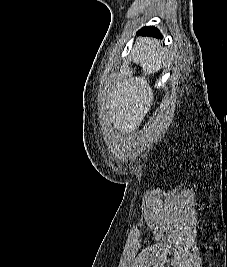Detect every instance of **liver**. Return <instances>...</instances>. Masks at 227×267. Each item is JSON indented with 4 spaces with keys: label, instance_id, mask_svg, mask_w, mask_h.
<instances>
[{
    "label": "liver",
    "instance_id": "1",
    "mask_svg": "<svg viewBox=\"0 0 227 267\" xmlns=\"http://www.w3.org/2000/svg\"><path fill=\"white\" fill-rule=\"evenodd\" d=\"M156 43L153 45L152 40L145 39L137 42L131 51L134 63H139L145 76L158 72L164 65L165 49ZM145 76L124 79L112 87L108 116L114 128L121 132H134L153 104V91Z\"/></svg>",
    "mask_w": 227,
    "mask_h": 267
}]
</instances>
